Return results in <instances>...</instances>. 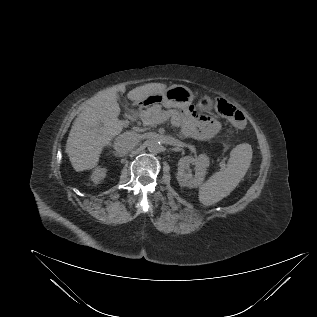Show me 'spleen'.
Here are the masks:
<instances>
[{
	"label": "spleen",
	"instance_id": "spleen-1",
	"mask_svg": "<svg viewBox=\"0 0 317 317\" xmlns=\"http://www.w3.org/2000/svg\"><path fill=\"white\" fill-rule=\"evenodd\" d=\"M251 159V146L247 143L237 145L231 151L226 167L213 174L200 186V203L210 206L228 196L246 174Z\"/></svg>",
	"mask_w": 317,
	"mask_h": 317
}]
</instances>
